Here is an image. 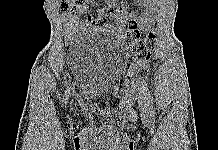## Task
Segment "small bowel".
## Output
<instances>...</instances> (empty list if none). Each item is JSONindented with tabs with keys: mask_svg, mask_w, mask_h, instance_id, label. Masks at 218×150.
Returning a JSON list of instances; mask_svg holds the SVG:
<instances>
[{
	"mask_svg": "<svg viewBox=\"0 0 218 150\" xmlns=\"http://www.w3.org/2000/svg\"><path fill=\"white\" fill-rule=\"evenodd\" d=\"M93 0H84L79 4L71 14L66 15L65 41L67 44H72L75 38L87 32H100L103 34L114 36L118 39L126 38L130 30H146L152 26V23L157 15L159 0H131L142 5L143 10L137 14L127 5H116V0H106L108 6L112 7L111 14L113 22L100 24V21L105 17V8L100 9L96 14H90L89 2ZM87 14L81 20L80 16ZM76 55V50L71 49L69 61L72 63Z\"/></svg>",
	"mask_w": 218,
	"mask_h": 150,
	"instance_id": "c3829d8e",
	"label": "small bowel"
}]
</instances>
